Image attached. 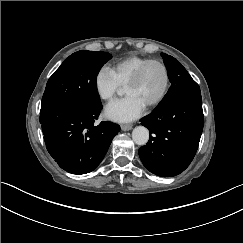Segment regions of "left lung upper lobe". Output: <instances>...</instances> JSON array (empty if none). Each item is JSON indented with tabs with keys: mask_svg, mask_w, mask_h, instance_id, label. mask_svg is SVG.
<instances>
[{
	"mask_svg": "<svg viewBox=\"0 0 243 243\" xmlns=\"http://www.w3.org/2000/svg\"><path fill=\"white\" fill-rule=\"evenodd\" d=\"M164 64L168 71L171 87L159 105L163 104L171 96L180 92H198L200 93L199 85L192 79L183 65L174 57L162 54Z\"/></svg>",
	"mask_w": 243,
	"mask_h": 243,
	"instance_id": "1",
	"label": "left lung upper lobe"
}]
</instances>
